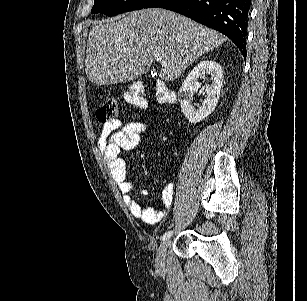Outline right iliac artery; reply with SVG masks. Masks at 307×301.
Instances as JSON below:
<instances>
[{
  "mask_svg": "<svg viewBox=\"0 0 307 301\" xmlns=\"http://www.w3.org/2000/svg\"><path fill=\"white\" fill-rule=\"evenodd\" d=\"M172 231H167V232H165L163 235H162V237H161V239L162 240H164V239H166V238H169L171 235H172Z\"/></svg>",
  "mask_w": 307,
  "mask_h": 301,
  "instance_id": "1",
  "label": "right iliac artery"
}]
</instances>
